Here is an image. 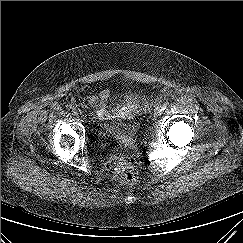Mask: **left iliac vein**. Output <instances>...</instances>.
Wrapping results in <instances>:
<instances>
[{"mask_svg":"<svg viewBox=\"0 0 243 243\" xmlns=\"http://www.w3.org/2000/svg\"><path fill=\"white\" fill-rule=\"evenodd\" d=\"M154 114L159 116V115L162 114V110H161L160 108H156V109L154 110Z\"/></svg>","mask_w":243,"mask_h":243,"instance_id":"1","label":"left iliac vein"}]
</instances>
